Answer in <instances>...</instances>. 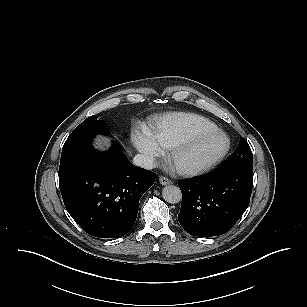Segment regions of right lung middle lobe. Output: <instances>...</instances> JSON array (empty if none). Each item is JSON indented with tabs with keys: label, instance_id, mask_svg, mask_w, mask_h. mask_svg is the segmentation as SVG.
<instances>
[{
	"label": "right lung middle lobe",
	"instance_id": "right-lung-middle-lobe-1",
	"mask_svg": "<svg viewBox=\"0 0 307 307\" xmlns=\"http://www.w3.org/2000/svg\"><path fill=\"white\" fill-rule=\"evenodd\" d=\"M98 133L109 134L105 124L96 117H89L85 119L74 131L68 136L63 148L62 153L66 152L80 144L91 141Z\"/></svg>",
	"mask_w": 307,
	"mask_h": 307
}]
</instances>
